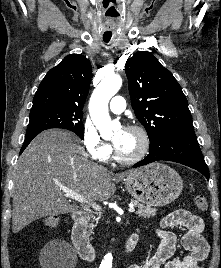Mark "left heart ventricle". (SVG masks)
Returning <instances> with one entry per match:
<instances>
[{
	"mask_svg": "<svg viewBox=\"0 0 221 268\" xmlns=\"http://www.w3.org/2000/svg\"><path fill=\"white\" fill-rule=\"evenodd\" d=\"M119 153L124 157H133L142 147V138L132 130H119L112 139Z\"/></svg>",
	"mask_w": 221,
	"mask_h": 268,
	"instance_id": "left-heart-ventricle-1",
	"label": "left heart ventricle"
}]
</instances>
